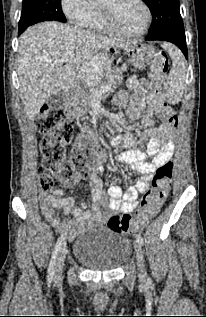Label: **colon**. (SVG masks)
<instances>
[{
    "instance_id": "5ec220e1",
    "label": "colon",
    "mask_w": 206,
    "mask_h": 317,
    "mask_svg": "<svg viewBox=\"0 0 206 317\" xmlns=\"http://www.w3.org/2000/svg\"><path fill=\"white\" fill-rule=\"evenodd\" d=\"M168 58L165 52L155 51L150 61V78L160 87L166 79ZM169 124L176 126L177 116L168 118ZM37 130L42 134V168L55 175L62 183H72L87 177L96 162L98 139L91 130L83 131L77 138L73 155H67V147L74 134L73 121L58 107L44 106L37 122ZM174 171V162L168 161L158 167L151 179V188L145 193L140 208L132 216L129 213L113 215L107 220L108 227L118 233L133 234L146 226L159 212L168 195ZM53 187V179L43 174L39 179V190L46 195Z\"/></svg>"
}]
</instances>
